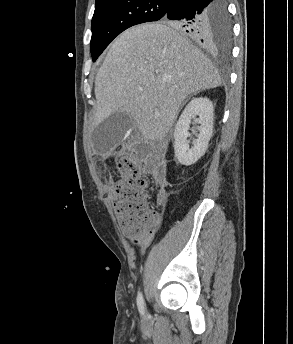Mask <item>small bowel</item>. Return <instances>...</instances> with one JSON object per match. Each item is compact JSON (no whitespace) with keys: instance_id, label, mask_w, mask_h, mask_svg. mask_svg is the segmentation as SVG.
I'll return each mask as SVG.
<instances>
[{"instance_id":"1","label":"small bowel","mask_w":293,"mask_h":344,"mask_svg":"<svg viewBox=\"0 0 293 344\" xmlns=\"http://www.w3.org/2000/svg\"><path fill=\"white\" fill-rule=\"evenodd\" d=\"M164 203H165V193H164V189L161 188L158 192L157 204L161 206ZM151 242H152V237L146 236V237L137 238L136 240L133 241V244L136 245L140 249V251H144L149 247Z\"/></svg>"}]
</instances>
